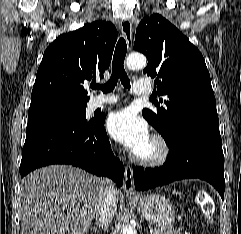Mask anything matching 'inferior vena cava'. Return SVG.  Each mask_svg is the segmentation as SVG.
<instances>
[{"mask_svg": "<svg viewBox=\"0 0 241 234\" xmlns=\"http://www.w3.org/2000/svg\"><path fill=\"white\" fill-rule=\"evenodd\" d=\"M101 203L96 213V222L104 230L110 225L116 212L117 197L114 183L109 179L100 181Z\"/></svg>", "mask_w": 241, "mask_h": 234, "instance_id": "inferior-vena-cava-1", "label": "inferior vena cava"}]
</instances>
